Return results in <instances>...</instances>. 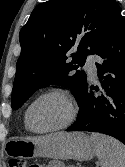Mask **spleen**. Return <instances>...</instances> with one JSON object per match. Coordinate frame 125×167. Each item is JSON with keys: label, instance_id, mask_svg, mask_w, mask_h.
I'll return each mask as SVG.
<instances>
[{"label": "spleen", "instance_id": "obj_1", "mask_svg": "<svg viewBox=\"0 0 125 167\" xmlns=\"http://www.w3.org/2000/svg\"><path fill=\"white\" fill-rule=\"evenodd\" d=\"M91 138L101 167H125V145L104 134L92 133Z\"/></svg>", "mask_w": 125, "mask_h": 167}]
</instances>
